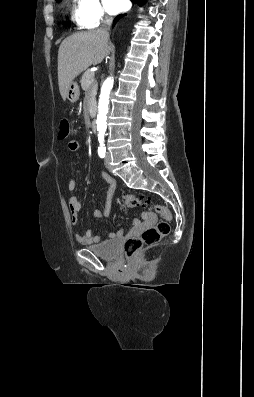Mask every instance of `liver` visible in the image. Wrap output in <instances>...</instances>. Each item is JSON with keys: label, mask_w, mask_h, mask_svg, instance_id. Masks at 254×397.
<instances>
[{"label": "liver", "mask_w": 254, "mask_h": 397, "mask_svg": "<svg viewBox=\"0 0 254 397\" xmlns=\"http://www.w3.org/2000/svg\"><path fill=\"white\" fill-rule=\"evenodd\" d=\"M110 51L97 30L75 33L63 40L58 51V85L64 101L70 83L89 66L101 63Z\"/></svg>", "instance_id": "obj_1"}]
</instances>
